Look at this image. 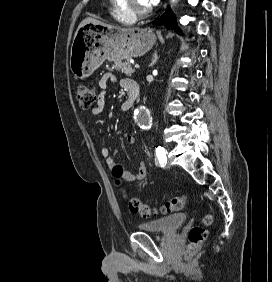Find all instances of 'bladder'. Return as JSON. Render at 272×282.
Segmentation results:
<instances>
[{
  "label": "bladder",
  "instance_id": "31cf9c89",
  "mask_svg": "<svg viewBox=\"0 0 272 282\" xmlns=\"http://www.w3.org/2000/svg\"><path fill=\"white\" fill-rule=\"evenodd\" d=\"M187 218L188 216L185 213L173 214L165 218L140 223L137 227L143 232L168 234L183 225Z\"/></svg>",
  "mask_w": 272,
  "mask_h": 282
}]
</instances>
